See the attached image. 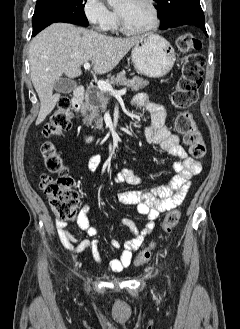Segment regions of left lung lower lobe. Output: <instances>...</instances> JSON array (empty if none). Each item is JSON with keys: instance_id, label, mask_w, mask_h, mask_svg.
Returning a JSON list of instances; mask_svg holds the SVG:
<instances>
[{"instance_id": "left-lung-lower-lobe-1", "label": "left lung lower lobe", "mask_w": 240, "mask_h": 329, "mask_svg": "<svg viewBox=\"0 0 240 329\" xmlns=\"http://www.w3.org/2000/svg\"><path fill=\"white\" fill-rule=\"evenodd\" d=\"M186 24H193L198 26L203 30V32L207 35L206 29H205V22H200V21H191V20H185V21H178L173 24H171L168 28L170 27H176V26H181V25H186Z\"/></svg>"}]
</instances>
